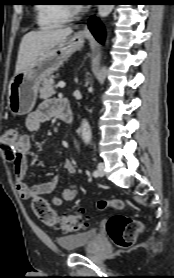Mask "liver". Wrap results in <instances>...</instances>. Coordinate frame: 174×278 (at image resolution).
Returning <instances> with one entry per match:
<instances>
[{
	"instance_id": "6515ba94",
	"label": "liver",
	"mask_w": 174,
	"mask_h": 278,
	"mask_svg": "<svg viewBox=\"0 0 174 278\" xmlns=\"http://www.w3.org/2000/svg\"><path fill=\"white\" fill-rule=\"evenodd\" d=\"M72 32L73 30L71 27H66L30 31L25 34L19 46L15 74L23 71L38 56L57 46L63 39L71 35Z\"/></svg>"
}]
</instances>
